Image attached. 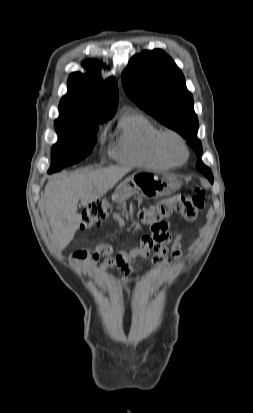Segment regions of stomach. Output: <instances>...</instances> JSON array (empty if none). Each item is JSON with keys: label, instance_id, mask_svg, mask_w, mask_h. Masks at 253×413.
<instances>
[{"label": "stomach", "instance_id": "0dacf381", "mask_svg": "<svg viewBox=\"0 0 253 413\" xmlns=\"http://www.w3.org/2000/svg\"><path fill=\"white\" fill-rule=\"evenodd\" d=\"M180 188V182L173 176H159L148 172H137L124 180L112 194V200L124 202L131 196L156 198L169 196Z\"/></svg>", "mask_w": 253, "mask_h": 413}]
</instances>
